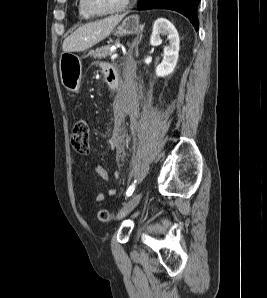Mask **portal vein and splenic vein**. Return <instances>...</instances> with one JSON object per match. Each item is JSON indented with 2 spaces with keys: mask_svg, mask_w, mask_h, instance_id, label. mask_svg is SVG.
Listing matches in <instances>:
<instances>
[{
  "mask_svg": "<svg viewBox=\"0 0 267 298\" xmlns=\"http://www.w3.org/2000/svg\"><path fill=\"white\" fill-rule=\"evenodd\" d=\"M117 56H118V54L115 53V54L111 55V59H115V58H117Z\"/></svg>",
  "mask_w": 267,
  "mask_h": 298,
  "instance_id": "portal-vein-and-splenic-vein-1",
  "label": "portal vein and splenic vein"
}]
</instances>
